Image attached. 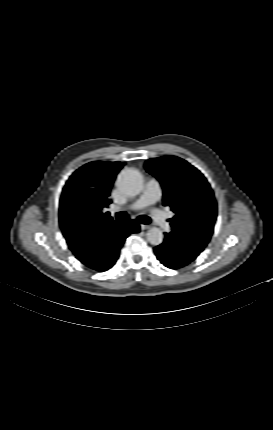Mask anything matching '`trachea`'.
I'll return each instance as SVG.
<instances>
[{
	"instance_id": "3493384b",
	"label": "trachea",
	"mask_w": 273,
	"mask_h": 430,
	"mask_svg": "<svg viewBox=\"0 0 273 430\" xmlns=\"http://www.w3.org/2000/svg\"><path fill=\"white\" fill-rule=\"evenodd\" d=\"M116 220L120 223H126L129 220V216L126 212H119L116 214ZM138 220L142 224L151 223V219L148 216L141 215L138 217Z\"/></svg>"
}]
</instances>
